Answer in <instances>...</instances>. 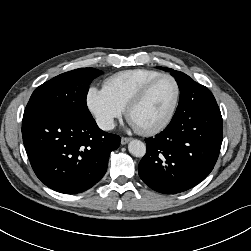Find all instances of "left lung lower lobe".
Instances as JSON below:
<instances>
[{
    "instance_id": "left-lung-lower-lobe-1",
    "label": "left lung lower lobe",
    "mask_w": 251,
    "mask_h": 251,
    "mask_svg": "<svg viewBox=\"0 0 251 251\" xmlns=\"http://www.w3.org/2000/svg\"><path fill=\"white\" fill-rule=\"evenodd\" d=\"M222 116L207 87L180 95L175 115L163 132L147 138L140 178L164 194L186 191L214 168L222 144Z\"/></svg>"
}]
</instances>
